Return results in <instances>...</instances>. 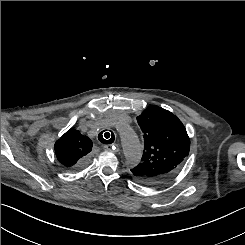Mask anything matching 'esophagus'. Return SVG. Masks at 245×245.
<instances>
[{
    "mask_svg": "<svg viewBox=\"0 0 245 245\" xmlns=\"http://www.w3.org/2000/svg\"><path fill=\"white\" fill-rule=\"evenodd\" d=\"M113 147H115V146H113L111 144H108V145H104L103 146L104 150H106V151H111L113 149Z\"/></svg>",
    "mask_w": 245,
    "mask_h": 245,
    "instance_id": "34e87169",
    "label": "esophagus"
}]
</instances>
